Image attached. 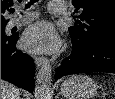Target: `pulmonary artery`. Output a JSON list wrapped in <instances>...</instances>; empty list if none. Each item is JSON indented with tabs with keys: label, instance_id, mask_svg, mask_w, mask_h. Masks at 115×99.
I'll return each mask as SVG.
<instances>
[{
	"label": "pulmonary artery",
	"instance_id": "e3ab8cb5",
	"mask_svg": "<svg viewBox=\"0 0 115 99\" xmlns=\"http://www.w3.org/2000/svg\"><path fill=\"white\" fill-rule=\"evenodd\" d=\"M48 11L54 15H61L65 12V5L62 1H51L48 5ZM37 17V14L34 12H27L21 17L12 18L8 22L9 27L19 26L23 23L32 21Z\"/></svg>",
	"mask_w": 115,
	"mask_h": 99
}]
</instances>
